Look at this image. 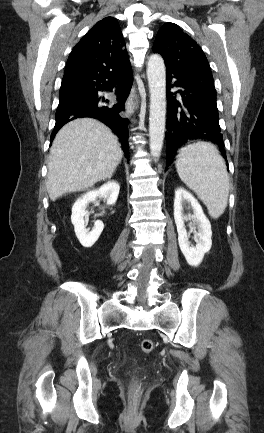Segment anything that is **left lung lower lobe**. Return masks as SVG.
Returning a JSON list of instances; mask_svg holds the SVG:
<instances>
[{"instance_id":"obj_1","label":"left lung lower lobe","mask_w":264,"mask_h":433,"mask_svg":"<svg viewBox=\"0 0 264 433\" xmlns=\"http://www.w3.org/2000/svg\"><path fill=\"white\" fill-rule=\"evenodd\" d=\"M167 72V124L166 165L173 161L175 151L190 140L212 142L220 148L226 158L223 135L219 126L216 90L214 82L179 75L166 68ZM175 78L174 84H171ZM180 90L171 93L172 87Z\"/></svg>"}]
</instances>
